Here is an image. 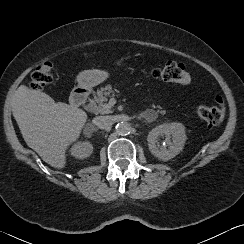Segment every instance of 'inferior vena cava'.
Returning <instances> with one entry per match:
<instances>
[{"label":"inferior vena cava","mask_w":244,"mask_h":244,"mask_svg":"<svg viewBox=\"0 0 244 244\" xmlns=\"http://www.w3.org/2000/svg\"><path fill=\"white\" fill-rule=\"evenodd\" d=\"M93 124L100 129H107L112 126L113 121L110 116H97L92 120Z\"/></svg>","instance_id":"1"}]
</instances>
